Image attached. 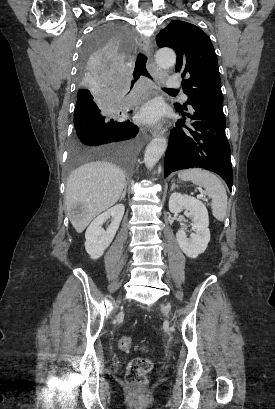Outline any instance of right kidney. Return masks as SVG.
<instances>
[{
  "instance_id": "ca27d5eb",
  "label": "right kidney",
  "mask_w": 275,
  "mask_h": 409,
  "mask_svg": "<svg viewBox=\"0 0 275 409\" xmlns=\"http://www.w3.org/2000/svg\"><path fill=\"white\" fill-rule=\"evenodd\" d=\"M124 211V205H115V207H111V209H108V211L96 217L91 225H89L85 233V249L91 259H99V257H102L104 251L108 249L122 221ZM110 217L111 225H109L107 231H103L102 225H104Z\"/></svg>"
}]
</instances>
